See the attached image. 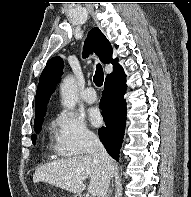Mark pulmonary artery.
I'll return each mask as SVG.
<instances>
[{"label":"pulmonary artery","instance_id":"e3ab8cb5","mask_svg":"<svg viewBox=\"0 0 191 197\" xmlns=\"http://www.w3.org/2000/svg\"><path fill=\"white\" fill-rule=\"evenodd\" d=\"M83 99L88 104H93L97 100L96 93L92 87H87L83 93Z\"/></svg>","mask_w":191,"mask_h":197}]
</instances>
